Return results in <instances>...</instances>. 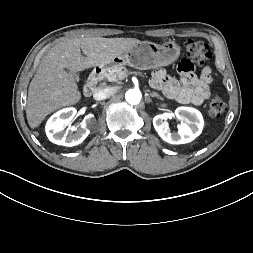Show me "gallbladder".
<instances>
[{"mask_svg": "<svg viewBox=\"0 0 253 253\" xmlns=\"http://www.w3.org/2000/svg\"><path fill=\"white\" fill-rule=\"evenodd\" d=\"M69 74H71L75 79L78 78L77 74L75 72L69 71Z\"/></svg>", "mask_w": 253, "mask_h": 253, "instance_id": "1", "label": "gallbladder"}]
</instances>
